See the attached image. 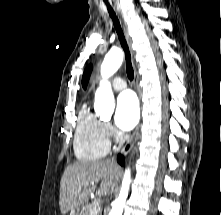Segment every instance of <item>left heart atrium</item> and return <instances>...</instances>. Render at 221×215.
Masks as SVG:
<instances>
[{"label":"left heart atrium","instance_id":"39dd6f15","mask_svg":"<svg viewBox=\"0 0 221 215\" xmlns=\"http://www.w3.org/2000/svg\"><path fill=\"white\" fill-rule=\"evenodd\" d=\"M139 120V104L135 95L126 91L117 99L115 123L124 131L131 130Z\"/></svg>","mask_w":221,"mask_h":215}]
</instances>
